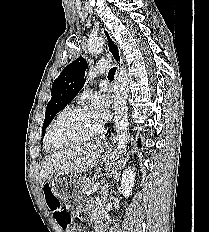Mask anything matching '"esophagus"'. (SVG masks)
<instances>
[{
  "label": "esophagus",
  "instance_id": "34e87169",
  "mask_svg": "<svg viewBox=\"0 0 209 232\" xmlns=\"http://www.w3.org/2000/svg\"><path fill=\"white\" fill-rule=\"evenodd\" d=\"M102 34L106 40L107 49L117 65V71H119L122 64L121 51L119 46L106 28L102 29Z\"/></svg>",
  "mask_w": 209,
  "mask_h": 232
}]
</instances>
